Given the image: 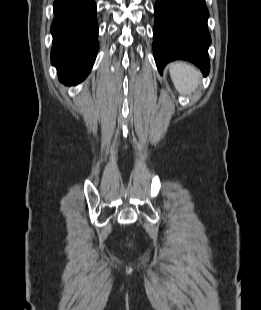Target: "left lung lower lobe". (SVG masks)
Returning a JSON list of instances; mask_svg holds the SVG:
<instances>
[{"instance_id":"obj_1","label":"left lung lower lobe","mask_w":261,"mask_h":310,"mask_svg":"<svg viewBox=\"0 0 261 310\" xmlns=\"http://www.w3.org/2000/svg\"><path fill=\"white\" fill-rule=\"evenodd\" d=\"M154 13L153 51L159 72L168 62L185 59L207 75L211 38L205 0H156Z\"/></svg>"}]
</instances>
